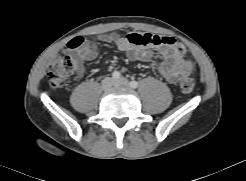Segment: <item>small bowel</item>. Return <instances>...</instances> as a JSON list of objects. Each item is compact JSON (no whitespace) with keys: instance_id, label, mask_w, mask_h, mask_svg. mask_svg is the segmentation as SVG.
Instances as JSON below:
<instances>
[{"instance_id":"c3829d8e","label":"small bowel","mask_w":246,"mask_h":181,"mask_svg":"<svg viewBox=\"0 0 246 181\" xmlns=\"http://www.w3.org/2000/svg\"><path fill=\"white\" fill-rule=\"evenodd\" d=\"M144 34L128 33L125 36L116 34L101 35L98 41L114 43L117 48L132 59L150 61L154 57L151 47H156L163 59L156 72L168 83H177L180 79L193 72V63L185 56V48L179 41L169 36H159L161 42L157 45L139 43ZM98 41L88 40L77 50L76 55L82 61H91L98 56ZM84 72L83 65L79 66V73Z\"/></svg>"}]
</instances>
